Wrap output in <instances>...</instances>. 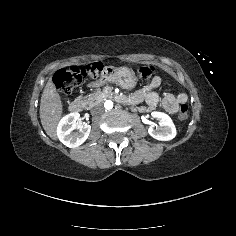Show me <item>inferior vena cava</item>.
I'll return each mask as SVG.
<instances>
[{
    "instance_id": "obj_1",
    "label": "inferior vena cava",
    "mask_w": 236,
    "mask_h": 236,
    "mask_svg": "<svg viewBox=\"0 0 236 236\" xmlns=\"http://www.w3.org/2000/svg\"><path fill=\"white\" fill-rule=\"evenodd\" d=\"M103 112V106L101 104H96L91 108V113L99 114Z\"/></svg>"
}]
</instances>
